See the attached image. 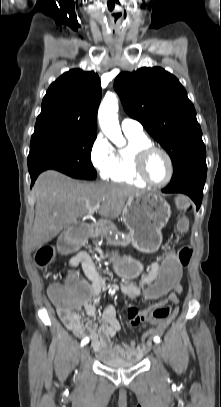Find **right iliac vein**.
<instances>
[{
  "instance_id": "63e3f726",
  "label": "right iliac vein",
  "mask_w": 221,
  "mask_h": 407,
  "mask_svg": "<svg viewBox=\"0 0 221 407\" xmlns=\"http://www.w3.org/2000/svg\"><path fill=\"white\" fill-rule=\"evenodd\" d=\"M89 357V348L84 346L81 350V361L84 363Z\"/></svg>"
}]
</instances>
